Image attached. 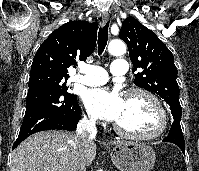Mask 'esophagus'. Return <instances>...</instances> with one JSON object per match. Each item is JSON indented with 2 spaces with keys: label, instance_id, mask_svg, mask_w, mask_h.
Masks as SVG:
<instances>
[{
  "label": "esophagus",
  "instance_id": "34e87169",
  "mask_svg": "<svg viewBox=\"0 0 199 171\" xmlns=\"http://www.w3.org/2000/svg\"><path fill=\"white\" fill-rule=\"evenodd\" d=\"M109 17H110L109 12H103L102 13V22L106 23L109 20Z\"/></svg>",
  "mask_w": 199,
  "mask_h": 171
}]
</instances>
